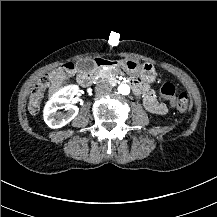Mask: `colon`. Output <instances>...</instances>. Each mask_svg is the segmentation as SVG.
<instances>
[{"label":"colon","instance_id":"colon-1","mask_svg":"<svg viewBox=\"0 0 217 217\" xmlns=\"http://www.w3.org/2000/svg\"><path fill=\"white\" fill-rule=\"evenodd\" d=\"M51 85V79L48 76H43L39 81V86L33 88L29 95L28 111L35 115L40 109V100L42 89H47ZM162 95L173 99V106L181 113L186 112L190 107V98L187 93L177 94L176 86L173 83L167 82L161 86Z\"/></svg>","mask_w":217,"mask_h":217}]
</instances>
